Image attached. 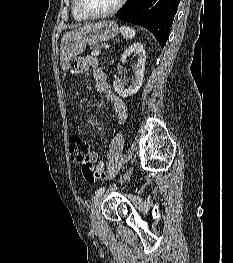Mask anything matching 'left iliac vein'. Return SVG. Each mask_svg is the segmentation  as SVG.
Masks as SVG:
<instances>
[{"label":"left iliac vein","instance_id":"obj_1","mask_svg":"<svg viewBox=\"0 0 233 263\" xmlns=\"http://www.w3.org/2000/svg\"><path fill=\"white\" fill-rule=\"evenodd\" d=\"M132 174V169H129L127 173L124 175V181L128 180ZM103 200V196H97L91 207V221L92 227L94 229H98L100 227V207Z\"/></svg>","mask_w":233,"mask_h":263}]
</instances>
